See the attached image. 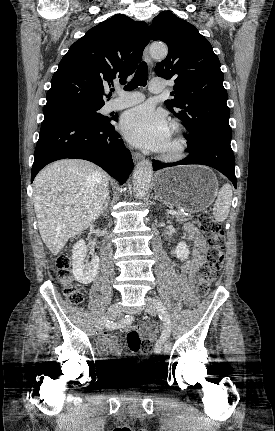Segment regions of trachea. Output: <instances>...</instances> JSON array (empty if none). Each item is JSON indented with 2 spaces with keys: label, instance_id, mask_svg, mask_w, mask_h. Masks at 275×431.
<instances>
[{
  "label": "trachea",
  "instance_id": "obj_1",
  "mask_svg": "<svg viewBox=\"0 0 275 431\" xmlns=\"http://www.w3.org/2000/svg\"><path fill=\"white\" fill-rule=\"evenodd\" d=\"M148 80V67L146 62H141L134 75V78L124 87V90L131 91L138 86H146ZM114 91V89H112Z\"/></svg>",
  "mask_w": 275,
  "mask_h": 431
}]
</instances>
